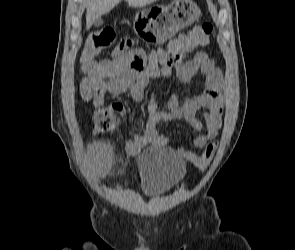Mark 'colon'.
Returning <instances> with one entry per match:
<instances>
[{"label":"colon","mask_w":295,"mask_h":250,"mask_svg":"<svg viewBox=\"0 0 295 250\" xmlns=\"http://www.w3.org/2000/svg\"><path fill=\"white\" fill-rule=\"evenodd\" d=\"M213 33V25L204 22L195 26L188 34L177 39L180 48L204 46L209 43ZM116 33L112 27L105 26L92 32L85 43L81 65L85 73L105 72L109 70L108 62H96L95 58L115 41ZM117 110L113 106L95 109L92 114L93 130L97 134L112 132L117 126L115 117ZM217 149V142L208 143L200 155L191 154L188 160L199 169H205L212 161Z\"/></svg>","instance_id":"colon-1"}]
</instances>
